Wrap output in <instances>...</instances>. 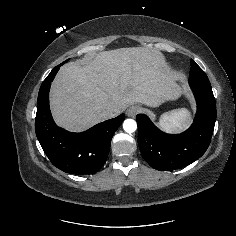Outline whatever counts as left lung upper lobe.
<instances>
[{"label":"left lung upper lobe","instance_id":"1","mask_svg":"<svg viewBox=\"0 0 236 236\" xmlns=\"http://www.w3.org/2000/svg\"><path fill=\"white\" fill-rule=\"evenodd\" d=\"M202 78L207 77L205 72L195 63L194 60H191V71H190V78Z\"/></svg>","mask_w":236,"mask_h":236}]
</instances>
